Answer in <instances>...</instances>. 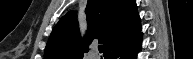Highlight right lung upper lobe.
I'll list each match as a JSON object with an SVG mask.
<instances>
[{
	"instance_id": "cb5924a9",
	"label": "right lung upper lobe",
	"mask_w": 193,
	"mask_h": 59,
	"mask_svg": "<svg viewBox=\"0 0 193 59\" xmlns=\"http://www.w3.org/2000/svg\"><path fill=\"white\" fill-rule=\"evenodd\" d=\"M85 13L87 40L81 43L76 14L70 11L53 28L44 59H82L94 38L104 44L107 55L141 30L135 0H88Z\"/></svg>"
}]
</instances>
